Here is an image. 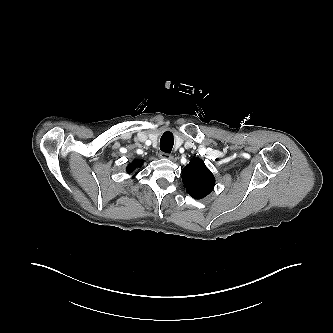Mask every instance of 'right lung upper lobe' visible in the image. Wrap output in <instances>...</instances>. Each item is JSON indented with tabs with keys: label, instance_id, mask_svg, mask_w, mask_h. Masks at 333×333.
Wrapping results in <instances>:
<instances>
[{
	"label": "right lung upper lobe",
	"instance_id": "cb5924a9",
	"mask_svg": "<svg viewBox=\"0 0 333 333\" xmlns=\"http://www.w3.org/2000/svg\"><path fill=\"white\" fill-rule=\"evenodd\" d=\"M143 164V161L141 160H135L133 163H131L130 165H128L127 167V172L130 174L132 173L136 168L140 167ZM137 174V172L135 173V175Z\"/></svg>",
	"mask_w": 333,
	"mask_h": 333
}]
</instances>
